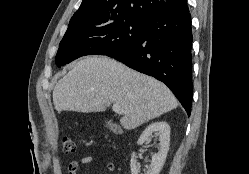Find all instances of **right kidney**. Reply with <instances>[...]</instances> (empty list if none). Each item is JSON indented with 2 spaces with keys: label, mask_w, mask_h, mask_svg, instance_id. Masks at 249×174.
<instances>
[{
  "label": "right kidney",
  "mask_w": 249,
  "mask_h": 174,
  "mask_svg": "<svg viewBox=\"0 0 249 174\" xmlns=\"http://www.w3.org/2000/svg\"><path fill=\"white\" fill-rule=\"evenodd\" d=\"M153 133L159 134L160 150L152 156V161L146 174H159L166 160L170 142V126L167 122H154L150 124L138 139V144L142 145L149 141ZM131 174L140 173V164L136 160V153H132L130 160Z\"/></svg>",
  "instance_id": "1"
}]
</instances>
